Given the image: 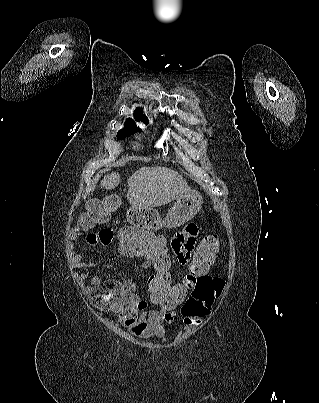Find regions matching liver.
I'll return each mask as SVG.
<instances>
[{
	"label": "liver",
	"instance_id": "1",
	"mask_svg": "<svg viewBox=\"0 0 319 403\" xmlns=\"http://www.w3.org/2000/svg\"><path fill=\"white\" fill-rule=\"evenodd\" d=\"M127 199L132 208H151L166 205L191 191L186 180L167 167H142L127 180ZM120 183L119 173L104 176L100 186L115 189Z\"/></svg>",
	"mask_w": 319,
	"mask_h": 403
}]
</instances>
